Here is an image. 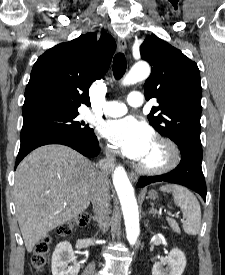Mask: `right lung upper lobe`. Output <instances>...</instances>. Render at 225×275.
<instances>
[{
  "label": "right lung upper lobe",
  "instance_id": "cb5924a9",
  "mask_svg": "<svg viewBox=\"0 0 225 275\" xmlns=\"http://www.w3.org/2000/svg\"><path fill=\"white\" fill-rule=\"evenodd\" d=\"M115 50V40L107 33L98 41L95 33H88L47 50L33 66L23 116L90 106L89 88L108 70Z\"/></svg>",
  "mask_w": 225,
  "mask_h": 275
}]
</instances>
